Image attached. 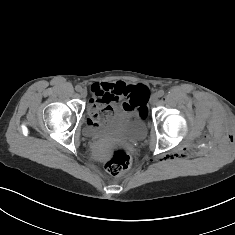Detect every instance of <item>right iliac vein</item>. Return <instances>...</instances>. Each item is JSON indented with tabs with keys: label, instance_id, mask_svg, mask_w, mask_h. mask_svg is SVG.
Instances as JSON below:
<instances>
[{
	"label": "right iliac vein",
	"instance_id": "63e3f726",
	"mask_svg": "<svg viewBox=\"0 0 235 235\" xmlns=\"http://www.w3.org/2000/svg\"><path fill=\"white\" fill-rule=\"evenodd\" d=\"M80 94H81V96H82L83 98H85V97L87 96V91H86V89H81Z\"/></svg>",
	"mask_w": 235,
	"mask_h": 235
}]
</instances>
